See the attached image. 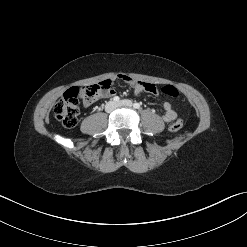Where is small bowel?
Returning <instances> with one entry per match:
<instances>
[{
  "label": "small bowel",
  "instance_id": "1",
  "mask_svg": "<svg viewBox=\"0 0 247 247\" xmlns=\"http://www.w3.org/2000/svg\"><path fill=\"white\" fill-rule=\"evenodd\" d=\"M119 78L121 80L125 81L126 83H128L134 89L135 93H137V94L144 92V91H147L150 93H156V87H155V85H153L151 83L136 80V79L130 78V77L125 76V75H120ZM114 94H115V90L111 85V87L108 90L101 93L96 100L101 99V98L111 97ZM82 97H83L85 107H88L94 101H96V100H94V101L88 100L83 94H82ZM175 117H176V113H175L174 109L172 108L171 104L168 101H165L163 104V114H162L163 120L167 123H170L175 119Z\"/></svg>",
  "mask_w": 247,
  "mask_h": 247
}]
</instances>
